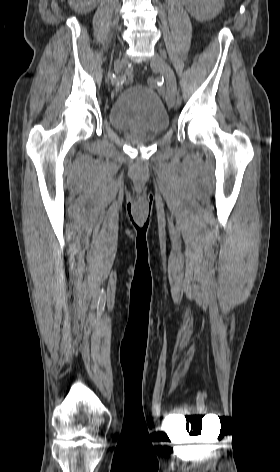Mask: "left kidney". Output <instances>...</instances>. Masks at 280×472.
Instances as JSON below:
<instances>
[{
    "label": "left kidney",
    "mask_w": 280,
    "mask_h": 472,
    "mask_svg": "<svg viewBox=\"0 0 280 472\" xmlns=\"http://www.w3.org/2000/svg\"><path fill=\"white\" fill-rule=\"evenodd\" d=\"M224 0H183L191 16L199 21H207L216 17L223 7Z\"/></svg>",
    "instance_id": "5707ae66"
}]
</instances>
